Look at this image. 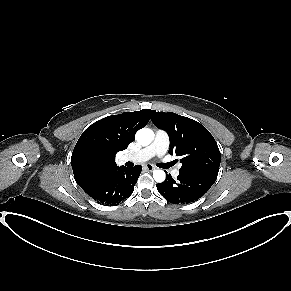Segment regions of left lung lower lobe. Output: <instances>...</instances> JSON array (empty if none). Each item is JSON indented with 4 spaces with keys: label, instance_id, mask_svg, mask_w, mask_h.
Instances as JSON below:
<instances>
[{
    "label": "left lung lower lobe",
    "instance_id": "0a47b994",
    "mask_svg": "<svg viewBox=\"0 0 291 291\" xmlns=\"http://www.w3.org/2000/svg\"><path fill=\"white\" fill-rule=\"evenodd\" d=\"M179 172L177 180H174L169 174L164 182L157 184L158 192L167 201L174 204H187L198 200L217 178V176L207 173Z\"/></svg>",
    "mask_w": 291,
    "mask_h": 291
}]
</instances>
